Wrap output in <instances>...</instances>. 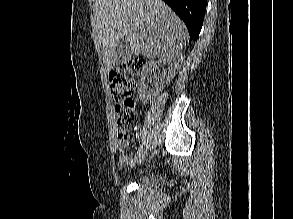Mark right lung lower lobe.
Listing matches in <instances>:
<instances>
[{
  "label": "right lung lower lobe",
  "mask_w": 293,
  "mask_h": 219,
  "mask_svg": "<svg viewBox=\"0 0 293 219\" xmlns=\"http://www.w3.org/2000/svg\"><path fill=\"white\" fill-rule=\"evenodd\" d=\"M185 22L190 39L196 40L202 28L207 0H163Z\"/></svg>",
  "instance_id": "right-lung-lower-lobe-1"
}]
</instances>
